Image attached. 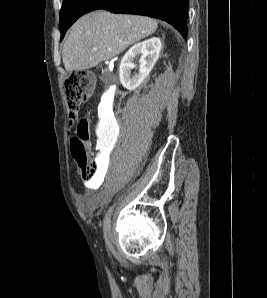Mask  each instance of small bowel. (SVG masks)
Wrapping results in <instances>:
<instances>
[{
	"label": "small bowel",
	"mask_w": 267,
	"mask_h": 298,
	"mask_svg": "<svg viewBox=\"0 0 267 298\" xmlns=\"http://www.w3.org/2000/svg\"><path fill=\"white\" fill-rule=\"evenodd\" d=\"M99 197L97 195H79L78 204L82 210L89 212L94 209Z\"/></svg>",
	"instance_id": "c3829d8e"
}]
</instances>
